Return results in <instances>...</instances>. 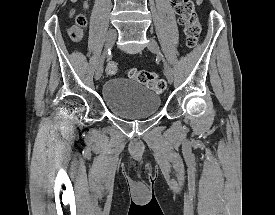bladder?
Listing matches in <instances>:
<instances>
[{"label": "bladder", "instance_id": "obj_1", "mask_svg": "<svg viewBox=\"0 0 275 215\" xmlns=\"http://www.w3.org/2000/svg\"><path fill=\"white\" fill-rule=\"evenodd\" d=\"M102 100L111 114L125 119L155 115L160 95L135 80L110 78L102 85Z\"/></svg>", "mask_w": 275, "mask_h": 215}]
</instances>
